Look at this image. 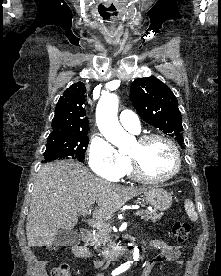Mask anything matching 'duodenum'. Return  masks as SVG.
Returning <instances> with one entry per match:
<instances>
[{"label": "duodenum", "mask_w": 221, "mask_h": 276, "mask_svg": "<svg viewBox=\"0 0 221 276\" xmlns=\"http://www.w3.org/2000/svg\"><path fill=\"white\" fill-rule=\"evenodd\" d=\"M80 237H81V240L84 244H88L91 241L92 235H91V232L88 229H82L80 231ZM116 253H117V251H114L112 249H105V250L102 251V256L104 258H109V257L113 256Z\"/></svg>", "instance_id": "1"}]
</instances>
